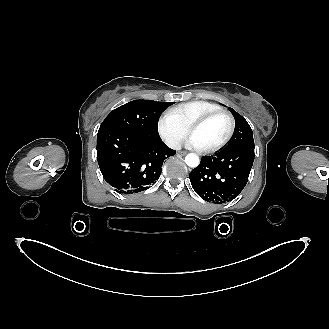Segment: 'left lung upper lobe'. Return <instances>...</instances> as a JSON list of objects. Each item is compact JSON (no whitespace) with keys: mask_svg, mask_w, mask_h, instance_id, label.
I'll return each mask as SVG.
<instances>
[{"mask_svg":"<svg viewBox=\"0 0 329 329\" xmlns=\"http://www.w3.org/2000/svg\"><path fill=\"white\" fill-rule=\"evenodd\" d=\"M229 110L235 118V130L231 141L223 150H231L239 147L254 148L252 129L248 122L234 109L229 108Z\"/></svg>","mask_w":329,"mask_h":329,"instance_id":"5c2ea615","label":"left lung upper lobe"}]
</instances>
